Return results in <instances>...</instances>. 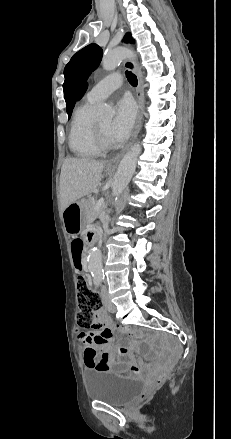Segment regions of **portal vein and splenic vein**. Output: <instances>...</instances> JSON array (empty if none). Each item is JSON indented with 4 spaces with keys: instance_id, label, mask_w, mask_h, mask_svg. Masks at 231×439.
<instances>
[{
    "instance_id": "1",
    "label": "portal vein and splenic vein",
    "mask_w": 231,
    "mask_h": 439,
    "mask_svg": "<svg viewBox=\"0 0 231 439\" xmlns=\"http://www.w3.org/2000/svg\"><path fill=\"white\" fill-rule=\"evenodd\" d=\"M102 204H103V199H100V200L97 202V204H96V206H95V208H94V211L99 210L100 207L102 206Z\"/></svg>"
}]
</instances>
